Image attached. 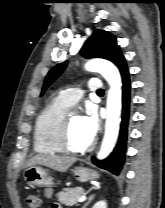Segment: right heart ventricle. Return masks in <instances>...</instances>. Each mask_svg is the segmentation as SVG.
Masks as SVG:
<instances>
[{
  "instance_id": "obj_1",
  "label": "right heart ventricle",
  "mask_w": 165,
  "mask_h": 208,
  "mask_svg": "<svg viewBox=\"0 0 165 208\" xmlns=\"http://www.w3.org/2000/svg\"><path fill=\"white\" fill-rule=\"evenodd\" d=\"M68 106L58 99L52 100L38 115L34 126V149L40 154L62 153L59 148V131Z\"/></svg>"
}]
</instances>
